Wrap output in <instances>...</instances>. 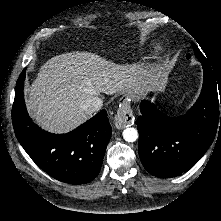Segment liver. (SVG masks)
<instances>
[{"instance_id": "liver-1", "label": "liver", "mask_w": 221, "mask_h": 221, "mask_svg": "<svg viewBox=\"0 0 221 221\" xmlns=\"http://www.w3.org/2000/svg\"><path fill=\"white\" fill-rule=\"evenodd\" d=\"M168 72L148 71L142 65L118 66L91 53L62 54L48 60L28 90L27 105L35 119L52 131H67L93 111L84 109L89 97L126 90L143 96L160 90Z\"/></svg>"}]
</instances>
